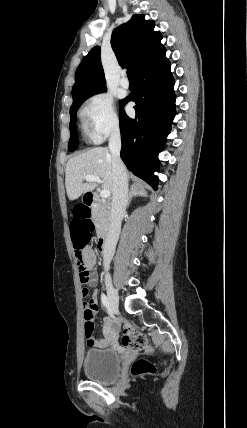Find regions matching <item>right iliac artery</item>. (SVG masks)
I'll return each instance as SVG.
<instances>
[{"mask_svg": "<svg viewBox=\"0 0 247 428\" xmlns=\"http://www.w3.org/2000/svg\"><path fill=\"white\" fill-rule=\"evenodd\" d=\"M101 301H102L103 306L107 307L109 305L108 299H107L106 295L103 293L101 294Z\"/></svg>", "mask_w": 247, "mask_h": 428, "instance_id": "1", "label": "right iliac artery"}]
</instances>
